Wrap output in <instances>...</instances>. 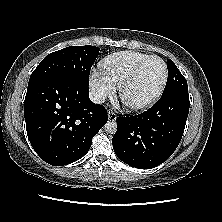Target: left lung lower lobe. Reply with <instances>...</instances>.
Masks as SVG:
<instances>
[{"mask_svg": "<svg viewBox=\"0 0 222 222\" xmlns=\"http://www.w3.org/2000/svg\"><path fill=\"white\" fill-rule=\"evenodd\" d=\"M189 105L188 91H172L141 114L117 117L118 128L112 139L116 155L139 169L166 161L182 138Z\"/></svg>", "mask_w": 222, "mask_h": 222, "instance_id": "1", "label": "left lung lower lobe"}]
</instances>
